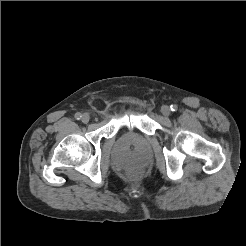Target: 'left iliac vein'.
<instances>
[{"label": "left iliac vein", "mask_w": 246, "mask_h": 246, "mask_svg": "<svg viewBox=\"0 0 246 246\" xmlns=\"http://www.w3.org/2000/svg\"><path fill=\"white\" fill-rule=\"evenodd\" d=\"M161 113L164 116H169L171 114V110H170V108L168 106H162Z\"/></svg>", "instance_id": "1"}]
</instances>
